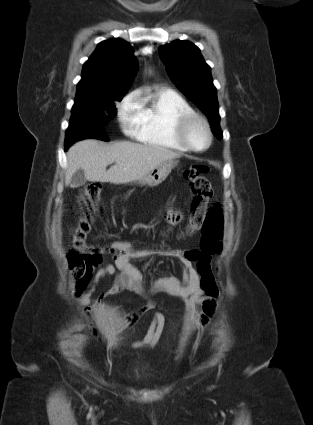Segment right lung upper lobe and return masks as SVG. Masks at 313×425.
Here are the masks:
<instances>
[{
    "instance_id": "obj_1",
    "label": "right lung upper lobe",
    "mask_w": 313,
    "mask_h": 425,
    "mask_svg": "<svg viewBox=\"0 0 313 425\" xmlns=\"http://www.w3.org/2000/svg\"><path fill=\"white\" fill-rule=\"evenodd\" d=\"M133 52V47L124 40L109 39L99 43L83 65L75 100L126 94L137 71Z\"/></svg>"
}]
</instances>
